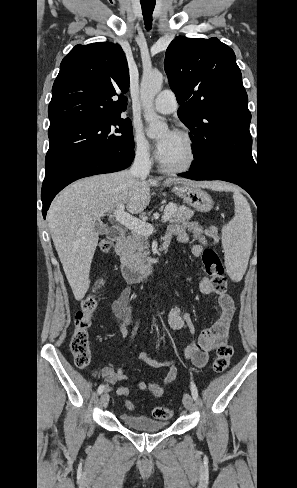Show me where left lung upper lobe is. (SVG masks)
I'll return each mask as SVG.
<instances>
[{
	"mask_svg": "<svg viewBox=\"0 0 297 488\" xmlns=\"http://www.w3.org/2000/svg\"><path fill=\"white\" fill-rule=\"evenodd\" d=\"M164 68L194 143L191 167L228 160L256 169L248 97L233 50L217 38L179 36L166 50Z\"/></svg>",
	"mask_w": 297,
	"mask_h": 488,
	"instance_id": "1",
	"label": "left lung upper lobe"
}]
</instances>
